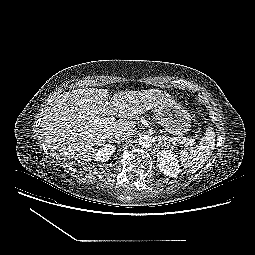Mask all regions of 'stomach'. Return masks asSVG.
I'll return each instance as SVG.
<instances>
[{"mask_svg":"<svg viewBox=\"0 0 255 255\" xmlns=\"http://www.w3.org/2000/svg\"><path fill=\"white\" fill-rule=\"evenodd\" d=\"M154 113L165 130L176 136L187 134L191 128V117L174 99L165 98L156 107Z\"/></svg>","mask_w":255,"mask_h":255,"instance_id":"obj_1","label":"stomach"}]
</instances>
